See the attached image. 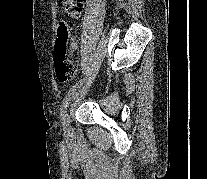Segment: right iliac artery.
Wrapping results in <instances>:
<instances>
[{
	"mask_svg": "<svg viewBox=\"0 0 207 179\" xmlns=\"http://www.w3.org/2000/svg\"><path fill=\"white\" fill-rule=\"evenodd\" d=\"M79 87V83L75 84L70 90L69 92L67 93L66 97L64 98L63 102H62V105H61V108H60V116H61V119L63 121V125H65V120H66V117H67V107L69 105V101L70 99L72 98V96L74 95L76 89Z\"/></svg>",
	"mask_w": 207,
	"mask_h": 179,
	"instance_id": "obj_1",
	"label": "right iliac artery"
}]
</instances>
